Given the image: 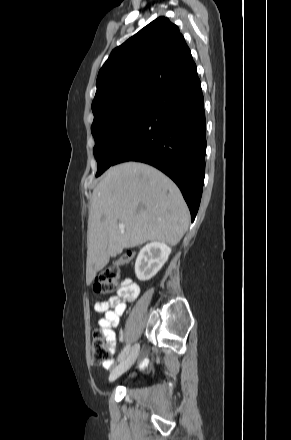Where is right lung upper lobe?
<instances>
[{
	"label": "right lung upper lobe",
	"instance_id": "1",
	"mask_svg": "<svg viewBox=\"0 0 291 440\" xmlns=\"http://www.w3.org/2000/svg\"><path fill=\"white\" fill-rule=\"evenodd\" d=\"M195 69L179 28L161 16L111 52L98 73L92 110L139 96L155 97Z\"/></svg>",
	"mask_w": 291,
	"mask_h": 440
}]
</instances>
